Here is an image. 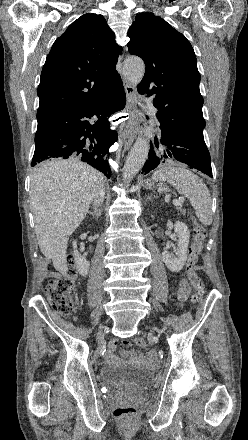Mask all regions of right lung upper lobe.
<instances>
[{
	"mask_svg": "<svg viewBox=\"0 0 248 440\" xmlns=\"http://www.w3.org/2000/svg\"><path fill=\"white\" fill-rule=\"evenodd\" d=\"M121 48L102 15L88 13L54 42L43 66L37 120L71 105L103 97L120 78Z\"/></svg>",
	"mask_w": 248,
	"mask_h": 440,
	"instance_id": "obj_1",
	"label": "right lung upper lobe"
}]
</instances>
